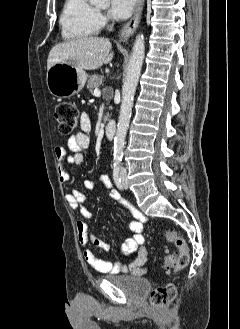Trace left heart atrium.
Listing matches in <instances>:
<instances>
[{"instance_id": "left-heart-atrium-1", "label": "left heart atrium", "mask_w": 240, "mask_h": 329, "mask_svg": "<svg viewBox=\"0 0 240 329\" xmlns=\"http://www.w3.org/2000/svg\"><path fill=\"white\" fill-rule=\"evenodd\" d=\"M135 2L136 0H111L109 15L118 20L126 19L131 15Z\"/></svg>"}]
</instances>
